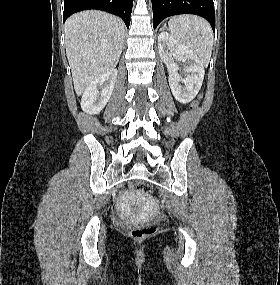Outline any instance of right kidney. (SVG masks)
I'll return each mask as SVG.
<instances>
[{"label":"right kidney","mask_w":280,"mask_h":285,"mask_svg":"<svg viewBox=\"0 0 280 285\" xmlns=\"http://www.w3.org/2000/svg\"><path fill=\"white\" fill-rule=\"evenodd\" d=\"M117 69H111L99 76L85 89L81 108L88 114H98L109 101L117 78Z\"/></svg>","instance_id":"1"}]
</instances>
